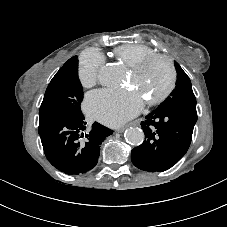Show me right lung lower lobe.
<instances>
[{
  "mask_svg": "<svg viewBox=\"0 0 227 227\" xmlns=\"http://www.w3.org/2000/svg\"><path fill=\"white\" fill-rule=\"evenodd\" d=\"M84 116H57L42 125L38 132L48 161L69 175L93 169L100 155L103 140L113 131L97 122L87 134Z\"/></svg>",
  "mask_w": 227,
  "mask_h": 227,
  "instance_id": "1",
  "label": "right lung lower lobe"
}]
</instances>
